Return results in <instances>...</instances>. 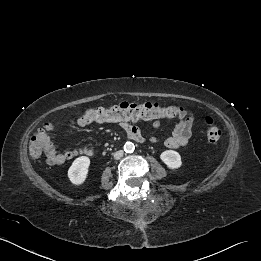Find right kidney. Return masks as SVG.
<instances>
[{
  "label": "right kidney",
  "mask_w": 261,
  "mask_h": 261,
  "mask_svg": "<svg viewBox=\"0 0 261 261\" xmlns=\"http://www.w3.org/2000/svg\"><path fill=\"white\" fill-rule=\"evenodd\" d=\"M90 159L87 156L76 158L68 170V177L75 185L84 183L88 175Z\"/></svg>",
  "instance_id": "ca27d5eb"
}]
</instances>
